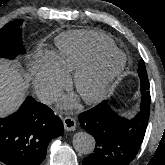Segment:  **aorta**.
Masks as SVG:
<instances>
[{"mask_svg":"<svg viewBox=\"0 0 165 165\" xmlns=\"http://www.w3.org/2000/svg\"><path fill=\"white\" fill-rule=\"evenodd\" d=\"M73 146L81 154H90L94 151L95 139L87 132H78L73 136Z\"/></svg>","mask_w":165,"mask_h":165,"instance_id":"762f6f07","label":"aorta"}]
</instances>
